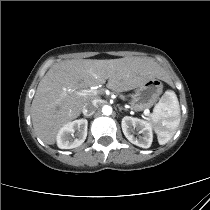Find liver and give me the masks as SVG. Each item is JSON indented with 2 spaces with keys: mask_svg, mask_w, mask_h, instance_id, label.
Returning a JSON list of instances; mask_svg holds the SVG:
<instances>
[{
  "mask_svg": "<svg viewBox=\"0 0 210 210\" xmlns=\"http://www.w3.org/2000/svg\"><path fill=\"white\" fill-rule=\"evenodd\" d=\"M164 70L153 59L125 57L110 60L75 59L53 65L39 82L31 105L35 132L47 144H54L58 131L76 119L83 106L96 94L80 95L108 80L107 88L124 92L152 79H162Z\"/></svg>",
  "mask_w": 210,
  "mask_h": 210,
  "instance_id": "obj_1",
  "label": "liver"
}]
</instances>
